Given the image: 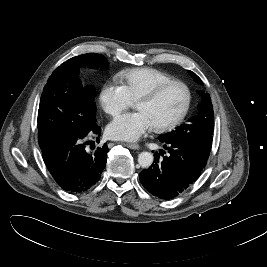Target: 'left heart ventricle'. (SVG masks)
<instances>
[{
  "instance_id": "b2bd125f",
  "label": "left heart ventricle",
  "mask_w": 267,
  "mask_h": 267,
  "mask_svg": "<svg viewBox=\"0 0 267 267\" xmlns=\"http://www.w3.org/2000/svg\"><path fill=\"white\" fill-rule=\"evenodd\" d=\"M186 94L181 86H171L151 102H138L135 109L142 112L152 127L174 120L183 109Z\"/></svg>"
}]
</instances>
